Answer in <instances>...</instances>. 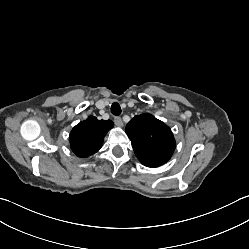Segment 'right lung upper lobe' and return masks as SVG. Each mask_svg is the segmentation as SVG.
I'll use <instances>...</instances> for the list:
<instances>
[{"label":"right lung upper lobe","mask_w":249,"mask_h":249,"mask_svg":"<svg viewBox=\"0 0 249 249\" xmlns=\"http://www.w3.org/2000/svg\"><path fill=\"white\" fill-rule=\"evenodd\" d=\"M114 126L111 120H98L89 116L77 124L70 133L72 151L81 158L95 154L101 148L108 130Z\"/></svg>","instance_id":"1"}]
</instances>
